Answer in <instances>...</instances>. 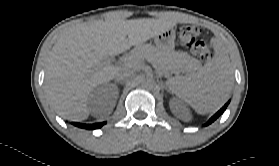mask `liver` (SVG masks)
I'll return each instance as SVG.
<instances>
[{
	"mask_svg": "<svg viewBox=\"0 0 279 166\" xmlns=\"http://www.w3.org/2000/svg\"><path fill=\"white\" fill-rule=\"evenodd\" d=\"M176 14L165 18L125 20L113 14L105 20L81 23L66 30L53 46L45 75V91L59 115L69 120L88 118V95L100 84L111 81L118 66L107 57L173 28Z\"/></svg>",
	"mask_w": 279,
	"mask_h": 166,
	"instance_id": "obj_1",
	"label": "liver"
}]
</instances>
